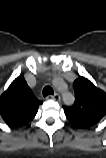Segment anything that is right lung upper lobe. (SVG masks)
I'll list each match as a JSON object with an SVG mask.
<instances>
[{
  "instance_id": "obj_1",
  "label": "right lung upper lobe",
  "mask_w": 106,
  "mask_h": 158,
  "mask_svg": "<svg viewBox=\"0 0 106 158\" xmlns=\"http://www.w3.org/2000/svg\"><path fill=\"white\" fill-rule=\"evenodd\" d=\"M42 104L32 93L23 75L17 77L0 96V117L10 127L29 123Z\"/></svg>"
}]
</instances>
